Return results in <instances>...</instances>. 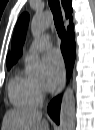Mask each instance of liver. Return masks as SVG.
I'll list each match as a JSON object with an SVG mask.
<instances>
[{
  "mask_svg": "<svg viewBox=\"0 0 95 130\" xmlns=\"http://www.w3.org/2000/svg\"><path fill=\"white\" fill-rule=\"evenodd\" d=\"M2 130H49V123L39 110H8L3 118Z\"/></svg>",
  "mask_w": 95,
  "mask_h": 130,
  "instance_id": "6515ba94",
  "label": "liver"
}]
</instances>
